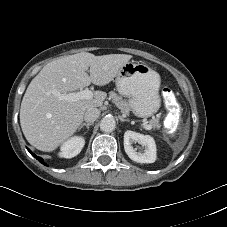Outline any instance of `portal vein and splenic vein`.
I'll return each instance as SVG.
<instances>
[{
	"label": "portal vein and splenic vein",
	"mask_w": 227,
	"mask_h": 227,
	"mask_svg": "<svg viewBox=\"0 0 227 227\" xmlns=\"http://www.w3.org/2000/svg\"><path fill=\"white\" fill-rule=\"evenodd\" d=\"M55 94L62 100L68 101V102H74L78 100L83 99H91L93 97V92L89 89L80 90L79 92H72L68 94H60L55 92ZM142 126L147 129L151 130L152 125L143 123Z\"/></svg>",
	"instance_id": "18ae733b"
}]
</instances>
